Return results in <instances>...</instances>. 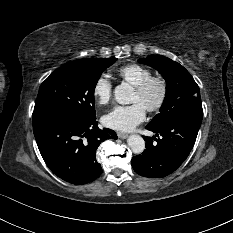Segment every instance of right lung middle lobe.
<instances>
[{"label": "right lung middle lobe", "mask_w": 233, "mask_h": 233, "mask_svg": "<svg viewBox=\"0 0 233 233\" xmlns=\"http://www.w3.org/2000/svg\"><path fill=\"white\" fill-rule=\"evenodd\" d=\"M116 60H76L55 70L41 84L33 113L55 112L95 118V86L102 72Z\"/></svg>", "instance_id": "dd1d6c3e"}]
</instances>
